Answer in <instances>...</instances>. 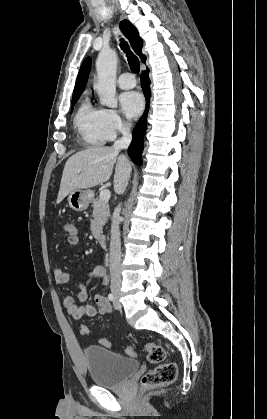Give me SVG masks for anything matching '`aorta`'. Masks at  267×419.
I'll return each instance as SVG.
<instances>
[{
    "instance_id": "aorta-1",
    "label": "aorta",
    "mask_w": 267,
    "mask_h": 419,
    "mask_svg": "<svg viewBox=\"0 0 267 419\" xmlns=\"http://www.w3.org/2000/svg\"><path fill=\"white\" fill-rule=\"evenodd\" d=\"M117 54L112 49H103L96 61L97 83L95 89L101 104L110 108L117 107L116 99Z\"/></svg>"
}]
</instances>
